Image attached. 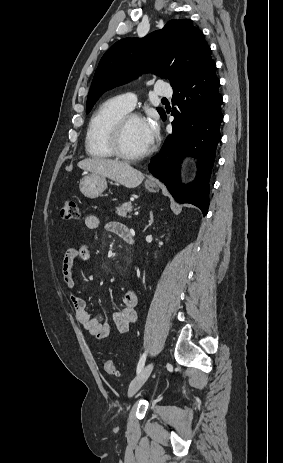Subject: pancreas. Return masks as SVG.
Instances as JSON below:
<instances>
[{
	"label": "pancreas",
	"instance_id": "cf45deb5",
	"mask_svg": "<svg viewBox=\"0 0 283 463\" xmlns=\"http://www.w3.org/2000/svg\"><path fill=\"white\" fill-rule=\"evenodd\" d=\"M132 210H133L132 204L130 202H125L116 208V213L119 216H122L124 218H127V217L130 218L131 216L127 214L131 213Z\"/></svg>",
	"mask_w": 283,
	"mask_h": 463
}]
</instances>
